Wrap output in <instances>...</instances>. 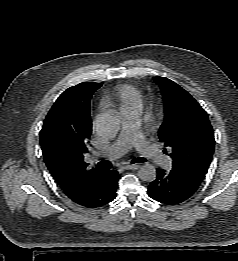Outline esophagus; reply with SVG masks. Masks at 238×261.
Listing matches in <instances>:
<instances>
[{
	"label": "esophagus",
	"instance_id": "esophagus-1",
	"mask_svg": "<svg viewBox=\"0 0 238 261\" xmlns=\"http://www.w3.org/2000/svg\"><path fill=\"white\" fill-rule=\"evenodd\" d=\"M123 168L127 169V170H134V169H138L139 165L138 164H125L123 166Z\"/></svg>",
	"mask_w": 238,
	"mask_h": 261
}]
</instances>
